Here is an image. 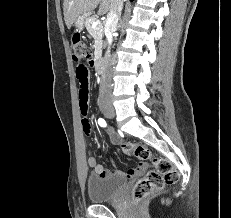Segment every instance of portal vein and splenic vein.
<instances>
[{
    "mask_svg": "<svg viewBox=\"0 0 231 218\" xmlns=\"http://www.w3.org/2000/svg\"><path fill=\"white\" fill-rule=\"evenodd\" d=\"M99 24H100V21H94V22L92 23V27H93V28H96Z\"/></svg>",
    "mask_w": 231,
    "mask_h": 218,
    "instance_id": "portal-vein-and-splenic-vein-1",
    "label": "portal vein and splenic vein"
}]
</instances>
